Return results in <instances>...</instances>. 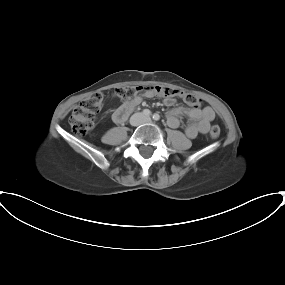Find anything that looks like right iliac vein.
Returning a JSON list of instances; mask_svg holds the SVG:
<instances>
[{
	"label": "right iliac vein",
	"mask_w": 285,
	"mask_h": 285,
	"mask_svg": "<svg viewBox=\"0 0 285 285\" xmlns=\"http://www.w3.org/2000/svg\"><path fill=\"white\" fill-rule=\"evenodd\" d=\"M137 118H140V115H137Z\"/></svg>",
	"instance_id": "1"
}]
</instances>
